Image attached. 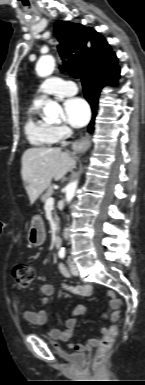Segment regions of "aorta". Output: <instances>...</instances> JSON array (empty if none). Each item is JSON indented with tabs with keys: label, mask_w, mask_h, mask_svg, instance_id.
<instances>
[{
	"label": "aorta",
	"mask_w": 145,
	"mask_h": 385,
	"mask_svg": "<svg viewBox=\"0 0 145 385\" xmlns=\"http://www.w3.org/2000/svg\"><path fill=\"white\" fill-rule=\"evenodd\" d=\"M54 67V58L52 56H44L41 57L37 62L36 72L40 77H47L52 74ZM43 112L48 119H56L58 115L62 113V108L56 101L47 100ZM77 184V181H73L66 186L65 198L67 203L72 201L77 188Z\"/></svg>",
	"instance_id": "762f6f07"
}]
</instances>
